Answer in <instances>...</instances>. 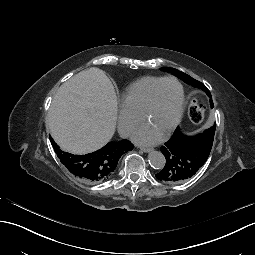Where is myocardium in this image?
I'll return each instance as SVG.
<instances>
[{"mask_svg": "<svg viewBox=\"0 0 255 255\" xmlns=\"http://www.w3.org/2000/svg\"><path fill=\"white\" fill-rule=\"evenodd\" d=\"M167 82H174L178 85L179 90H180V103H179V108H178V112L176 115V118L174 120V122L172 123V125L168 128L167 132L162 136L163 140L168 139L173 132L177 129V127L179 126L182 116H183V112H184V108H185V92H184V88L183 85L180 83L179 80H177L174 77H166L163 78L151 91L149 99L140 115V123L142 124V122L145 120V118H147L149 116V114L151 113L153 107H154V103H155V99H156V95L158 90L160 89V87Z\"/></svg>", "mask_w": 255, "mask_h": 255, "instance_id": "obj_1", "label": "myocardium"}]
</instances>
